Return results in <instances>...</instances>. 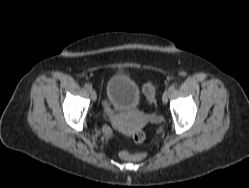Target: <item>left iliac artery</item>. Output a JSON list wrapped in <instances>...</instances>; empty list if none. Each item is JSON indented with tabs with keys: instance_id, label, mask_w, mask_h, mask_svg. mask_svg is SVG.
Returning a JSON list of instances; mask_svg holds the SVG:
<instances>
[{
	"instance_id": "obj_1",
	"label": "left iliac artery",
	"mask_w": 249,
	"mask_h": 188,
	"mask_svg": "<svg viewBox=\"0 0 249 188\" xmlns=\"http://www.w3.org/2000/svg\"><path fill=\"white\" fill-rule=\"evenodd\" d=\"M169 90H170V92L174 91V90H175V85L172 84V85L169 87Z\"/></svg>"
}]
</instances>
